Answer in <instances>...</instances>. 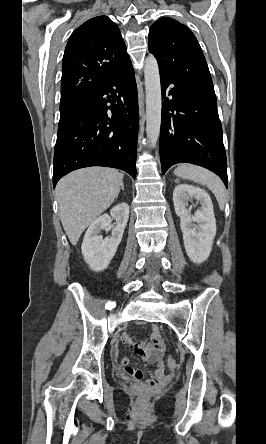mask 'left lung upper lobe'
I'll return each mask as SVG.
<instances>
[{
    "mask_svg": "<svg viewBox=\"0 0 266 444\" xmlns=\"http://www.w3.org/2000/svg\"><path fill=\"white\" fill-rule=\"evenodd\" d=\"M148 42L160 70L184 81L212 82L202 49L187 26L161 18L151 26Z\"/></svg>",
    "mask_w": 266,
    "mask_h": 444,
    "instance_id": "left-lung-upper-lobe-1",
    "label": "left lung upper lobe"
}]
</instances>
